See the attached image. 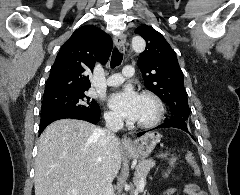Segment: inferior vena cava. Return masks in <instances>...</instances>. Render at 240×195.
<instances>
[{"mask_svg":"<svg viewBox=\"0 0 240 195\" xmlns=\"http://www.w3.org/2000/svg\"><path fill=\"white\" fill-rule=\"evenodd\" d=\"M104 119L106 121L105 129H96L95 131L101 149H105L106 145H110V143H118V137H116L115 133L123 127V121L113 113H105ZM98 195H114L111 181H108V179L102 181Z\"/></svg>","mask_w":240,"mask_h":195,"instance_id":"obj_1","label":"inferior vena cava"}]
</instances>
